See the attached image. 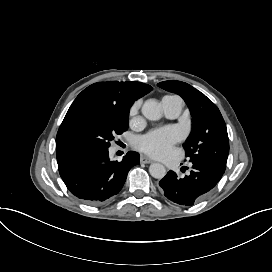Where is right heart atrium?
Segmentation results:
<instances>
[{
  "mask_svg": "<svg viewBox=\"0 0 272 272\" xmlns=\"http://www.w3.org/2000/svg\"><path fill=\"white\" fill-rule=\"evenodd\" d=\"M138 107H139V102H137V103L133 106L132 112H134Z\"/></svg>",
  "mask_w": 272,
  "mask_h": 272,
  "instance_id": "d8ad5b80",
  "label": "right heart atrium"
}]
</instances>
